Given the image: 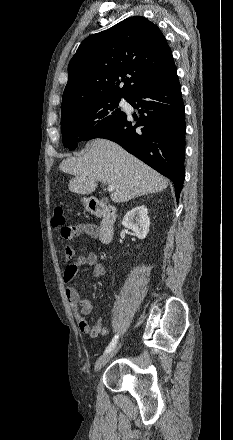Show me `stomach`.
<instances>
[{
    "label": "stomach",
    "instance_id": "obj_1",
    "mask_svg": "<svg viewBox=\"0 0 233 440\" xmlns=\"http://www.w3.org/2000/svg\"><path fill=\"white\" fill-rule=\"evenodd\" d=\"M82 201H83L84 205H85L86 207H88L89 200L86 199V198H84Z\"/></svg>",
    "mask_w": 233,
    "mask_h": 440
}]
</instances>
